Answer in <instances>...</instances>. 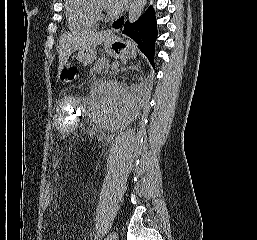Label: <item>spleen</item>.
<instances>
[{
    "instance_id": "3e777b00",
    "label": "spleen",
    "mask_w": 257,
    "mask_h": 240,
    "mask_svg": "<svg viewBox=\"0 0 257 240\" xmlns=\"http://www.w3.org/2000/svg\"><path fill=\"white\" fill-rule=\"evenodd\" d=\"M133 48V47H132ZM132 56H136V51H135V48H133V50H132Z\"/></svg>"
}]
</instances>
